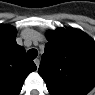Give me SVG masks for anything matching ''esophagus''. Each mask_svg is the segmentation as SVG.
<instances>
[{
  "mask_svg": "<svg viewBox=\"0 0 95 95\" xmlns=\"http://www.w3.org/2000/svg\"><path fill=\"white\" fill-rule=\"evenodd\" d=\"M34 63L36 64V66H37V69H38V67H39V64H40V61H39V59H35V60H34Z\"/></svg>",
  "mask_w": 95,
  "mask_h": 95,
  "instance_id": "obj_1",
  "label": "esophagus"
}]
</instances>
